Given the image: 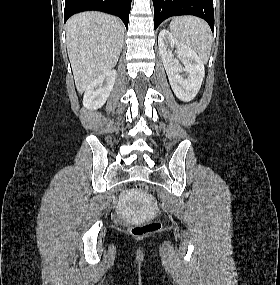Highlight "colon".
Masks as SVG:
<instances>
[{"instance_id": "colon-1", "label": "colon", "mask_w": 280, "mask_h": 285, "mask_svg": "<svg viewBox=\"0 0 280 285\" xmlns=\"http://www.w3.org/2000/svg\"><path fill=\"white\" fill-rule=\"evenodd\" d=\"M136 189L141 192H146L148 190V185L145 183H139ZM160 227L159 221H150L143 224H137L131 227L130 234L135 238H142L149 234L156 232Z\"/></svg>"}]
</instances>
